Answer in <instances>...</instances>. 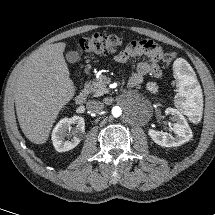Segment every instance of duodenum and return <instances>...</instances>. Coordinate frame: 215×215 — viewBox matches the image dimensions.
<instances>
[{
  "mask_svg": "<svg viewBox=\"0 0 215 215\" xmlns=\"http://www.w3.org/2000/svg\"><path fill=\"white\" fill-rule=\"evenodd\" d=\"M88 97V91L86 88H83L76 97V103L82 105L86 102Z\"/></svg>",
  "mask_w": 215,
  "mask_h": 215,
  "instance_id": "1",
  "label": "duodenum"
}]
</instances>
